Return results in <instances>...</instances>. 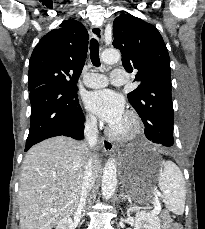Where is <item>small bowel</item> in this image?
I'll list each match as a JSON object with an SVG mask.
<instances>
[{"instance_id":"c3829d8e","label":"small bowel","mask_w":205,"mask_h":229,"mask_svg":"<svg viewBox=\"0 0 205 229\" xmlns=\"http://www.w3.org/2000/svg\"><path fill=\"white\" fill-rule=\"evenodd\" d=\"M169 229H180L178 225H173Z\"/></svg>"}]
</instances>
